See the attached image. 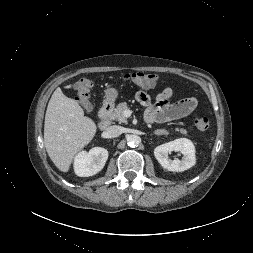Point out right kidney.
Masks as SVG:
<instances>
[{"mask_svg": "<svg viewBox=\"0 0 253 253\" xmlns=\"http://www.w3.org/2000/svg\"><path fill=\"white\" fill-rule=\"evenodd\" d=\"M108 159V151L94 147L89 152L78 153L74 160V171L79 177H89L101 171Z\"/></svg>", "mask_w": 253, "mask_h": 253, "instance_id": "obj_1", "label": "right kidney"}]
</instances>
